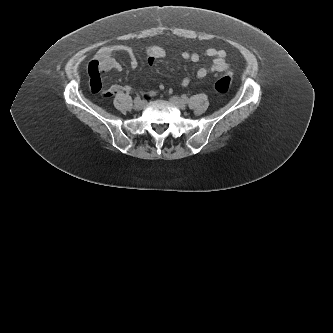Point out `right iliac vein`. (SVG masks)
<instances>
[{
	"label": "right iliac vein",
	"mask_w": 333,
	"mask_h": 333,
	"mask_svg": "<svg viewBox=\"0 0 333 333\" xmlns=\"http://www.w3.org/2000/svg\"><path fill=\"white\" fill-rule=\"evenodd\" d=\"M146 105V102L144 100L135 101L134 108L136 110H142Z\"/></svg>",
	"instance_id": "1"
}]
</instances>
